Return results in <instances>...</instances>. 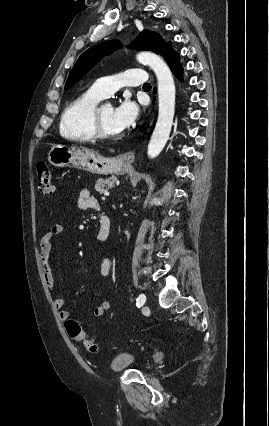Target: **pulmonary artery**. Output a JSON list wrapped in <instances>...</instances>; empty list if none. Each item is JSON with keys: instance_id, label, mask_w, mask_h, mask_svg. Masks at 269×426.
I'll use <instances>...</instances> for the list:
<instances>
[{"instance_id": "1", "label": "pulmonary artery", "mask_w": 269, "mask_h": 426, "mask_svg": "<svg viewBox=\"0 0 269 426\" xmlns=\"http://www.w3.org/2000/svg\"><path fill=\"white\" fill-rule=\"evenodd\" d=\"M147 81V73L141 68H131L121 74L103 77L94 82L91 90L102 98L108 97L121 86H137Z\"/></svg>"}]
</instances>
